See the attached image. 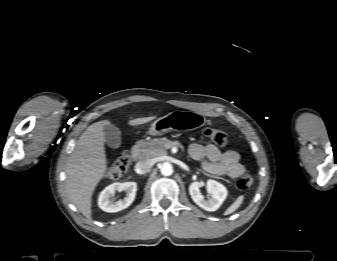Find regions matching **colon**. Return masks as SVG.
<instances>
[{
    "label": "colon",
    "mask_w": 337,
    "mask_h": 261,
    "mask_svg": "<svg viewBox=\"0 0 337 261\" xmlns=\"http://www.w3.org/2000/svg\"><path fill=\"white\" fill-rule=\"evenodd\" d=\"M202 134L219 147H225L228 144V138L222 131L207 128L202 131ZM130 163L131 159L129 154L127 152H122L116 161L108 167L106 177L110 179L122 177L127 172ZM253 185L254 179L249 173L243 174L237 181V187L241 190H247Z\"/></svg>",
    "instance_id": "5ec220e1"
}]
</instances>
